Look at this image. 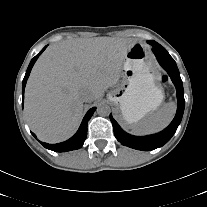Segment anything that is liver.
I'll list each match as a JSON object with an SVG mask.
<instances>
[{
	"label": "liver",
	"mask_w": 207,
	"mask_h": 207,
	"mask_svg": "<svg viewBox=\"0 0 207 207\" xmlns=\"http://www.w3.org/2000/svg\"><path fill=\"white\" fill-rule=\"evenodd\" d=\"M132 39L95 37L49 46L35 63L25 89L30 129L48 143L70 138L83 116V92L97 100L120 79Z\"/></svg>",
	"instance_id": "1"
}]
</instances>
